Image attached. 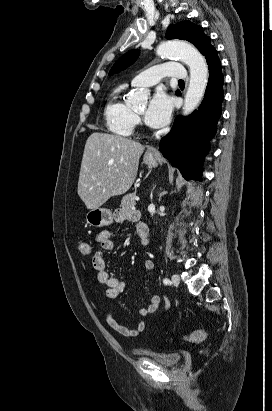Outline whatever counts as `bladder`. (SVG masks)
Here are the masks:
<instances>
[{
    "label": "bladder",
    "instance_id": "31cf9c89",
    "mask_svg": "<svg viewBox=\"0 0 272 411\" xmlns=\"http://www.w3.org/2000/svg\"><path fill=\"white\" fill-rule=\"evenodd\" d=\"M144 358L152 363L163 365L166 367H176L182 360L180 353H157V352H145L142 355Z\"/></svg>",
    "mask_w": 272,
    "mask_h": 411
}]
</instances>
